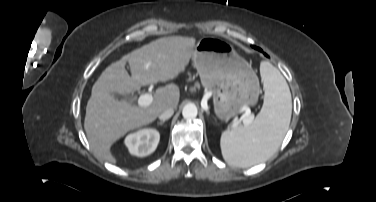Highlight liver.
Instances as JSON below:
<instances>
[{"mask_svg": "<svg viewBox=\"0 0 376 202\" xmlns=\"http://www.w3.org/2000/svg\"><path fill=\"white\" fill-rule=\"evenodd\" d=\"M195 43L192 37L160 38L123 56L102 72L92 87L84 120V129L94 153L105 161L117 163L111 146L119 138L153 122L164 110L177 108L180 92L175 84L158 88L152 103L142 107L117 100L113 94L134 93L141 86L176 78L188 65ZM126 63L132 76L125 69Z\"/></svg>", "mask_w": 376, "mask_h": 202, "instance_id": "6515ba94", "label": "liver"}]
</instances>
